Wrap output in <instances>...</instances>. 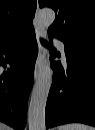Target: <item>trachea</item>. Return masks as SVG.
Segmentation results:
<instances>
[{
    "instance_id": "obj_1",
    "label": "trachea",
    "mask_w": 95,
    "mask_h": 130,
    "mask_svg": "<svg viewBox=\"0 0 95 130\" xmlns=\"http://www.w3.org/2000/svg\"><path fill=\"white\" fill-rule=\"evenodd\" d=\"M40 41H41V43H42L43 45H45V46H49V44H48L45 40L40 39Z\"/></svg>"
}]
</instances>
